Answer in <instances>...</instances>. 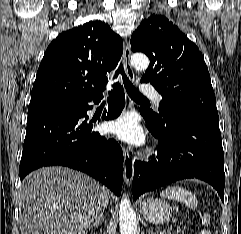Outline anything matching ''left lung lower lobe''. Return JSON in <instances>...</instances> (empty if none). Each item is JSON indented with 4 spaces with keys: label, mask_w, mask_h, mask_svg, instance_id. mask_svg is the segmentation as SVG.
I'll return each mask as SVG.
<instances>
[{
    "label": "left lung lower lobe",
    "mask_w": 241,
    "mask_h": 234,
    "mask_svg": "<svg viewBox=\"0 0 241 234\" xmlns=\"http://www.w3.org/2000/svg\"><path fill=\"white\" fill-rule=\"evenodd\" d=\"M147 127L158 139L157 159L135 161L133 200L141 194L180 179L198 178L211 184L224 199V152L219 118L166 109L155 122L141 109Z\"/></svg>",
    "instance_id": "obj_1"
}]
</instances>
